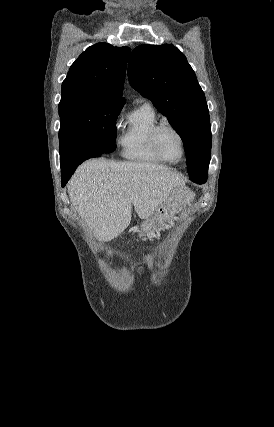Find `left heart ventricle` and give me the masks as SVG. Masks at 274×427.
<instances>
[{
	"label": "left heart ventricle",
	"instance_id": "obj_1",
	"mask_svg": "<svg viewBox=\"0 0 274 427\" xmlns=\"http://www.w3.org/2000/svg\"><path fill=\"white\" fill-rule=\"evenodd\" d=\"M159 145L163 154L171 161H179L182 156L180 138L171 130H163L159 136Z\"/></svg>",
	"mask_w": 274,
	"mask_h": 427
}]
</instances>
